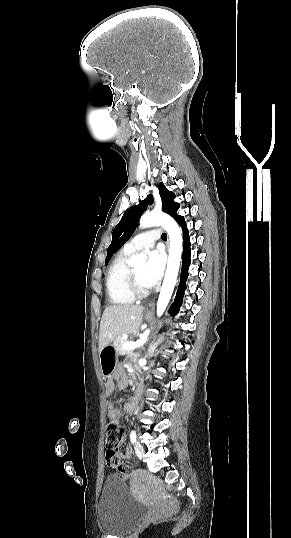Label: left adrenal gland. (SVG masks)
<instances>
[{"mask_svg":"<svg viewBox=\"0 0 291 538\" xmlns=\"http://www.w3.org/2000/svg\"><path fill=\"white\" fill-rule=\"evenodd\" d=\"M159 342H160V339L158 340V342L153 343V344L150 345L149 353H150L151 355L154 353V351H155V349H156V347H157V345H158Z\"/></svg>","mask_w":291,"mask_h":538,"instance_id":"left-adrenal-gland-1","label":"left adrenal gland"}]
</instances>
